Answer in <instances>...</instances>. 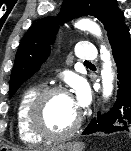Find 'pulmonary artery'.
Here are the masks:
<instances>
[{"label":"pulmonary artery","mask_w":131,"mask_h":151,"mask_svg":"<svg viewBox=\"0 0 131 151\" xmlns=\"http://www.w3.org/2000/svg\"><path fill=\"white\" fill-rule=\"evenodd\" d=\"M75 54L80 61H94L97 58L95 46L90 42H80L76 45Z\"/></svg>","instance_id":"obj_1"}]
</instances>
